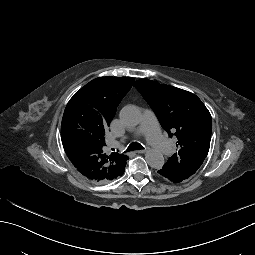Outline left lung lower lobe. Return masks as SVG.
I'll return each mask as SVG.
<instances>
[{
    "label": "left lung lower lobe",
    "instance_id": "0a47b994",
    "mask_svg": "<svg viewBox=\"0 0 255 255\" xmlns=\"http://www.w3.org/2000/svg\"><path fill=\"white\" fill-rule=\"evenodd\" d=\"M158 175L162 180H167L170 182H173L175 180V177L173 175H170L169 173L165 172L162 168H159L157 170Z\"/></svg>",
    "mask_w": 255,
    "mask_h": 255
}]
</instances>
